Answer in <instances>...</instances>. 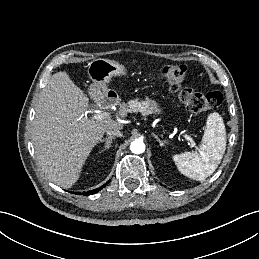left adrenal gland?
I'll return each instance as SVG.
<instances>
[{
  "instance_id": "left-adrenal-gland-1",
  "label": "left adrenal gland",
  "mask_w": 259,
  "mask_h": 259,
  "mask_svg": "<svg viewBox=\"0 0 259 259\" xmlns=\"http://www.w3.org/2000/svg\"><path fill=\"white\" fill-rule=\"evenodd\" d=\"M153 137L156 138V140L159 142V144H160L161 147H162V146H165V143H163V141L160 140L157 135L153 134Z\"/></svg>"
}]
</instances>
